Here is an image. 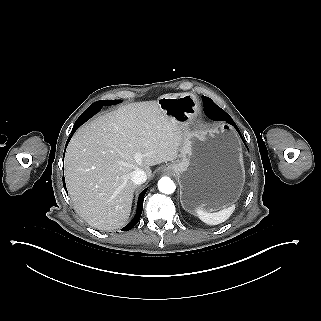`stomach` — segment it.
<instances>
[{
  "mask_svg": "<svg viewBox=\"0 0 321 321\" xmlns=\"http://www.w3.org/2000/svg\"><path fill=\"white\" fill-rule=\"evenodd\" d=\"M158 104L166 116L191 124L199 100L194 93H170L160 96ZM179 152V160L167 166L179 182L180 201L186 211H217L237 201L245 169L241 141L230 124L186 130Z\"/></svg>",
  "mask_w": 321,
  "mask_h": 321,
  "instance_id": "obj_1",
  "label": "stomach"
}]
</instances>
